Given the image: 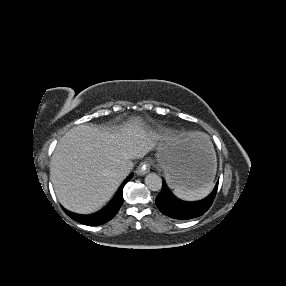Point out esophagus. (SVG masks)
I'll use <instances>...</instances> for the list:
<instances>
[{
	"instance_id": "esophagus-1",
	"label": "esophagus",
	"mask_w": 286,
	"mask_h": 286,
	"mask_svg": "<svg viewBox=\"0 0 286 286\" xmlns=\"http://www.w3.org/2000/svg\"><path fill=\"white\" fill-rule=\"evenodd\" d=\"M150 169H151V164H150V162H149V161H145V162H142V163L138 166V168H137V170H136V173H137V175L142 176V175H145V174H147L148 172H150Z\"/></svg>"
}]
</instances>
